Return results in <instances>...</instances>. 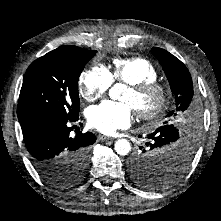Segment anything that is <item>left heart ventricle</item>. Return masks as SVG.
Wrapping results in <instances>:
<instances>
[{
  "label": "left heart ventricle",
  "mask_w": 221,
  "mask_h": 221,
  "mask_svg": "<svg viewBox=\"0 0 221 221\" xmlns=\"http://www.w3.org/2000/svg\"><path fill=\"white\" fill-rule=\"evenodd\" d=\"M122 101L130 104L133 109H147L151 108L156 103L155 96L137 97L129 89H127L123 96Z\"/></svg>",
  "instance_id": "1"
}]
</instances>
